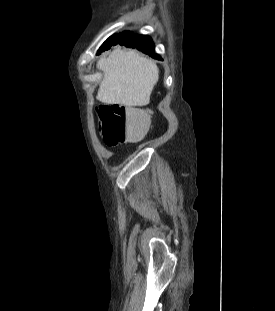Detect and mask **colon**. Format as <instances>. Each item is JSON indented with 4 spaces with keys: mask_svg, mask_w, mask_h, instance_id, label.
I'll list each match as a JSON object with an SVG mask.
<instances>
[{
    "mask_svg": "<svg viewBox=\"0 0 275 311\" xmlns=\"http://www.w3.org/2000/svg\"><path fill=\"white\" fill-rule=\"evenodd\" d=\"M99 117L101 134L109 147L141 139L150 128V115L143 110L105 105L99 108Z\"/></svg>",
    "mask_w": 275,
    "mask_h": 311,
    "instance_id": "5ec220e1",
    "label": "colon"
}]
</instances>
